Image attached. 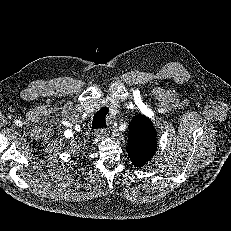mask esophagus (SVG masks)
Listing matches in <instances>:
<instances>
[{"mask_svg":"<svg viewBox=\"0 0 231 231\" xmlns=\"http://www.w3.org/2000/svg\"><path fill=\"white\" fill-rule=\"evenodd\" d=\"M109 133H110L109 128H101L97 130V136L99 137L108 136Z\"/></svg>","mask_w":231,"mask_h":231,"instance_id":"1","label":"esophagus"}]
</instances>
